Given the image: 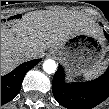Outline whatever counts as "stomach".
Wrapping results in <instances>:
<instances>
[{
  "instance_id": "1",
  "label": "stomach",
  "mask_w": 109,
  "mask_h": 109,
  "mask_svg": "<svg viewBox=\"0 0 109 109\" xmlns=\"http://www.w3.org/2000/svg\"><path fill=\"white\" fill-rule=\"evenodd\" d=\"M109 47L104 37L86 32H75L62 45L53 47L50 53L56 55L73 76L95 70L107 62Z\"/></svg>"
}]
</instances>
